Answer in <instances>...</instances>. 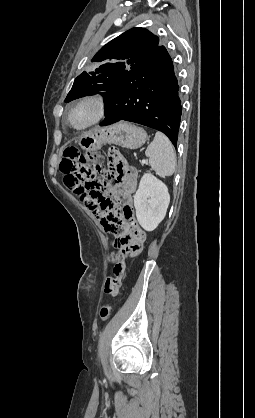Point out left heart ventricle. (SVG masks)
Here are the masks:
<instances>
[{
  "mask_svg": "<svg viewBox=\"0 0 255 418\" xmlns=\"http://www.w3.org/2000/svg\"><path fill=\"white\" fill-rule=\"evenodd\" d=\"M94 108L91 104H85L76 108L71 115V122L74 126L85 124L93 115Z\"/></svg>",
  "mask_w": 255,
  "mask_h": 418,
  "instance_id": "b2bd125f",
  "label": "left heart ventricle"
}]
</instances>
